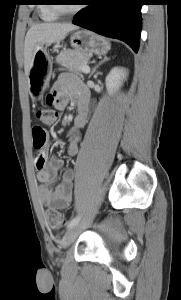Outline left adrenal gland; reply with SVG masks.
Masks as SVG:
<instances>
[{"mask_svg": "<svg viewBox=\"0 0 181 300\" xmlns=\"http://www.w3.org/2000/svg\"><path fill=\"white\" fill-rule=\"evenodd\" d=\"M106 61H109V58L107 57H104L103 60H101L91 71L90 75H89V78L96 72V70L103 64L105 63Z\"/></svg>", "mask_w": 181, "mask_h": 300, "instance_id": "a2214340", "label": "left adrenal gland"}]
</instances>
